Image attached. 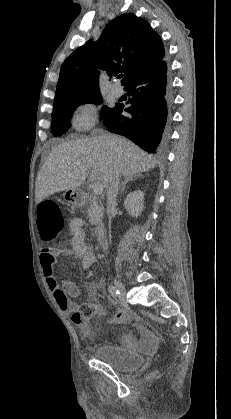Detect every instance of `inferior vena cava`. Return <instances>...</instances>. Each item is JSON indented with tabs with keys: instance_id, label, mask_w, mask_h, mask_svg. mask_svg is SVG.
Here are the masks:
<instances>
[{
	"instance_id": "1",
	"label": "inferior vena cava",
	"mask_w": 231,
	"mask_h": 419,
	"mask_svg": "<svg viewBox=\"0 0 231 419\" xmlns=\"http://www.w3.org/2000/svg\"><path fill=\"white\" fill-rule=\"evenodd\" d=\"M119 180H120V174L118 170H114V172L111 174L109 179V184L107 186V205H106V211L109 218H111V215L115 211L116 207V198L119 190Z\"/></svg>"
}]
</instances>
